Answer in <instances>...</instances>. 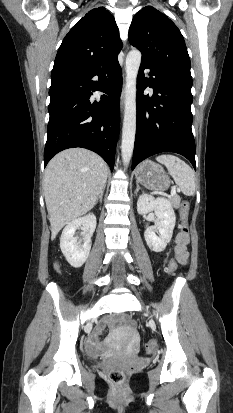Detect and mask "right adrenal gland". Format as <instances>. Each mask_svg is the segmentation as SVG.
I'll list each match as a JSON object with an SVG mask.
<instances>
[{
    "label": "right adrenal gland",
    "mask_w": 233,
    "mask_h": 413,
    "mask_svg": "<svg viewBox=\"0 0 233 413\" xmlns=\"http://www.w3.org/2000/svg\"><path fill=\"white\" fill-rule=\"evenodd\" d=\"M105 188H106V184L104 185L103 189L101 190V192H100V194H99V196H98V198H97V200H96L95 204H97V203H98V201H99L100 203H102V199H103V194H104V190H105Z\"/></svg>",
    "instance_id": "2a0ac1e0"
}]
</instances>
